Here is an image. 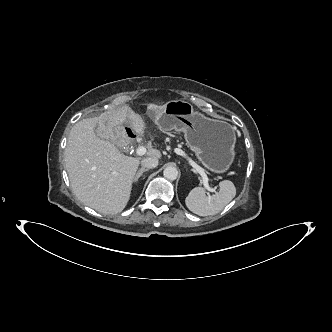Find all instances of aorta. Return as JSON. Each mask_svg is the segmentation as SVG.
Listing matches in <instances>:
<instances>
[{"label": "aorta", "mask_w": 332, "mask_h": 332, "mask_svg": "<svg viewBox=\"0 0 332 332\" xmlns=\"http://www.w3.org/2000/svg\"><path fill=\"white\" fill-rule=\"evenodd\" d=\"M163 175L168 180H175L178 177V170L176 167L168 166L164 169Z\"/></svg>", "instance_id": "762f6f07"}]
</instances>
